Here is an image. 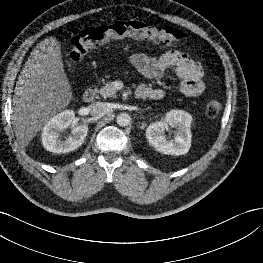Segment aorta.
Instances as JSON below:
<instances>
[{"mask_svg": "<svg viewBox=\"0 0 263 263\" xmlns=\"http://www.w3.org/2000/svg\"><path fill=\"white\" fill-rule=\"evenodd\" d=\"M131 122V117L128 113L126 112H122L120 114H118L117 116V124L121 127H125L127 125H129Z\"/></svg>", "mask_w": 263, "mask_h": 263, "instance_id": "762f6f07", "label": "aorta"}]
</instances>
